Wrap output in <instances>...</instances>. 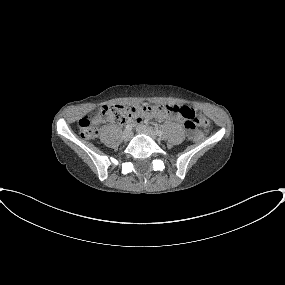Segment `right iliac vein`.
Masks as SVG:
<instances>
[{
    "label": "right iliac vein",
    "mask_w": 285,
    "mask_h": 285,
    "mask_svg": "<svg viewBox=\"0 0 285 285\" xmlns=\"http://www.w3.org/2000/svg\"><path fill=\"white\" fill-rule=\"evenodd\" d=\"M131 137H132L131 131L125 130L123 132L122 138H123L124 141H129L131 139Z\"/></svg>",
    "instance_id": "right-iliac-vein-1"
}]
</instances>
